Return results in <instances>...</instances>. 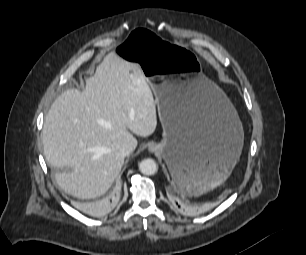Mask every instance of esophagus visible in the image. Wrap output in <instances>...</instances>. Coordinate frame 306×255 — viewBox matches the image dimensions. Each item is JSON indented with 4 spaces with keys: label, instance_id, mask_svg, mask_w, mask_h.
<instances>
[{
    "label": "esophagus",
    "instance_id": "1",
    "mask_svg": "<svg viewBox=\"0 0 306 255\" xmlns=\"http://www.w3.org/2000/svg\"><path fill=\"white\" fill-rule=\"evenodd\" d=\"M156 150V146L154 144L149 145V151L154 152Z\"/></svg>",
    "mask_w": 306,
    "mask_h": 255
}]
</instances>
